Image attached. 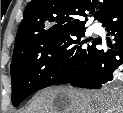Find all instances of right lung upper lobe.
<instances>
[{
	"label": "right lung upper lobe",
	"instance_id": "1",
	"mask_svg": "<svg viewBox=\"0 0 123 113\" xmlns=\"http://www.w3.org/2000/svg\"><path fill=\"white\" fill-rule=\"evenodd\" d=\"M120 1L32 0L24 10L15 47L68 30L85 28L88 14L94 13L95 19L100 22L104 15ZM83 18H86L85 21Z\"/></svg>",
	"mask_w": 123,
	"mask_h": 113
}]
</instances>
